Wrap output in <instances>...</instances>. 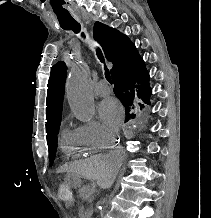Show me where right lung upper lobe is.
Wrapping results in <instances>:
<instances>
[{"instance_id": "obj_1", "label": "right lung upper lobe", "mask_w": 211, "mask_h": 218, "mask_svg": "<svg viewBox=\"0 0 211 218\" xmlns=\"http://www.w3.org/2000/svg\"><path fill=\"white\" fill-rule=\"evenodd\" d=\"M94 38L101 45L106 59L113 63L111 74L116 66L138 54L128 37L100 22H96L94 25ZM65 76L66 66L63 62L60 61L51 68L46 101L47 135L52 131L56 122L61 119Z\"/></svg>"}]
</instances>
